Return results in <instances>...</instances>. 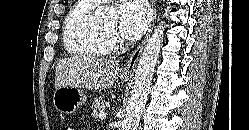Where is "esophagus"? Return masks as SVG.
Listing matches in <instances>:
<instances>
[{
	"instance_id": "obj_1",
	"label": "esophagus",
	"mask_w": 249,
	"mask_h": 130,
	"mask_svg": "<svg viewBox=\"0 0 249 130\" xmlns=\"http://www.w3.org/2000/svg\"><path fill=\"white\" fill-rule=\"evenodd\" d=\"M151 1V6H152V14H153V19H152V23L150 25V28L144 38V40L141 42V44L136 48V50L133 52L131 58L129 59V61L127 62L125 68L122 71V75L124 76H132V74L135 71V68L137 66L139 57L152 33L153 27L155 25L156 22V17H157V8H156V0H150Z\"/></svg>"
}]
</instances>
